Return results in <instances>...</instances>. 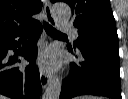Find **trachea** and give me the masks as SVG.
Instances as JSON below:
<instances>
[{"mask_svg": "<svg viewBox=\"0 0 128 99\" xmlns=\"http://www.w3.org/2000/svg\"><path fill=\"white\" fill-rule=\"evenodd\" d=\"M44 29L45 31L49 34V35H65L64 33H61L59 31H57L55 28H53L49 23L44 22L43 23Z\"/></svg>", "mask_w": 128, "mask_h": 99, "instance_id": "3493384b", "label": "trachea"}]
</instances>
